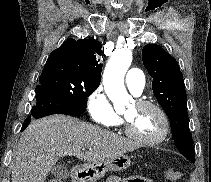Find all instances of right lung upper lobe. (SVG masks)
<instances>
[{
	"label": "right lung upper lobe",
	"instance_id": "cb5924a9",
	"mask_svg": "<svg viewBox=\"0 0 211 182\" xmlns=\"http://www.w3.org/2000/svg\"><path fill=\"white\" fill-rule=\"evenodd\" d=\"M103 53L101 43L94 39L68 38L49 55L44 68L59 66L87 80L100 83L102 64L99 63V58Z\"/></svg>",
	"mask_w": 211,
	"mask_h": 182
}]
</instances>
